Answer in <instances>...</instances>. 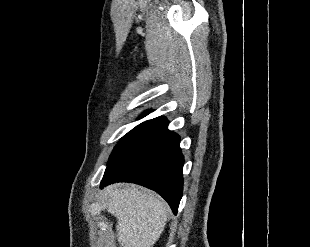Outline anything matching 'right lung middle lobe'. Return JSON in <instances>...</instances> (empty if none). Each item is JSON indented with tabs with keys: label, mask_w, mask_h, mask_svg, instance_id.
<instances>
[{
	"label": "right lung middle lobe",
	"mask_w": 310,
	"mask_h": 247,
	"mask_svg": "<svg viewBox=\"0 0 310 247\" xmlns=\"http://www.w3.org/2000/svg\"><path fill=\"white\" fill-rule=\"evenodd\" d=\"M148 114V111L145 112L142 116L140 117H144L145 115ZM149 121L143 122L141 124H139L138 126H136L134 129H132L131 131H129L126 135H124L119 143L115 146L113 152L110 155L109 161H112L113 158L120 152V150L128 143V141Z\"/></svg>",
	"instance_id": "obj_1"
}]
</instances>
